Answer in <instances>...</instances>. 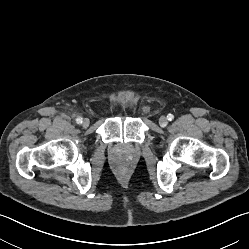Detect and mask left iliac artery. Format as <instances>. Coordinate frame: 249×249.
I'll list each match as a JSON object with an SVG mask.
<instances>
[{
  "instance_id": "1",
  "label": "left iliac artery",
  "mask_w": 249,
  "mask_h": 249,
  "mask_svg": "<svg viewBox=\"0 0 249 249\" xmlns=\"http://www.w3.org/2000/svg\"><path fill=\"white\" fill-rule=\"evenodd\" d=\"M167 119H168L169 121H172V120L174 119L173 114H168V115H167Z\"/></svg>"
}]
</instances>
